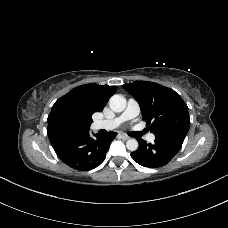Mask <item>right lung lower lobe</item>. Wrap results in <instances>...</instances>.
I'll return each instance as SVG.
<instances>
[{
	"instance_id": "right-lung-lower-lobe-1",
	"label": "right lung lower lobe",
	"mask_w": 228,
	"mask_h": 228,
	"mask_svg": "<svg viewBox=\"0 0 228 228\" xmlns=\"http://www.w3.org/2000/svg\"><path fill=\"white\" fill-rule=\"evenodd\" d=\"M117 133L97 135L65 133L49 138L57 156L71 168L87 171L99 166L106 157L111 141Z\"/></svg>"
}]
</instances>
